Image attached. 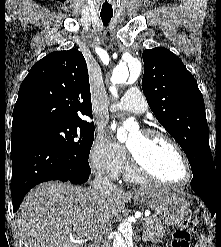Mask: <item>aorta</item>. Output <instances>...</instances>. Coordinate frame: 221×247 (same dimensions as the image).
I'll list each match as a JSON object with an SVG mask.
<instances>
[{
    "label": "aorta",
    "mask_w": 221,
    "mask_h": 247,
    "mask_svg": "<svg viewBox=\"0 0 221 247\" xmlns=\"http://www.w3.org/2000/svg\"><path fill=\"white\" fill-rule=\"evenodd\" d=\"M141 71V63L137 59H132L129 62H121L112 72L111 83L109 90L114 98H118L116 85L125 83L129 76L135 80ZM137 128V124L133 119H128L123 123L117 131V138L123 142L127 139L128 131ZM113 247H131V242L121 233L117 232L113 240Z\"/></svg>",
    "instance_id": "obj_1"
}]
</instances>
